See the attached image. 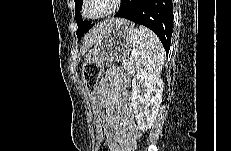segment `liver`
Here are the masks:
<instances>
[{
	"label": "liver",
	"instance_id": "6515ba94",
	"mask_svg": "<svg viewBox=\"0 0 231 151\" xmlns=\"http://www.w3.org/2000/svg\"><path fill=\"white\" fill-rule=\"evenodd\" d=\"M124 21L123 19H110L106 20L103 23L97 25L91 32L88 34L87 38L83 43V52H86L88 48L94 45L102 36V34L110 28L113 24H118Z\"/></svg>",
	"mask_w": 231,
	"mask_h": 151
}]
</instances>
